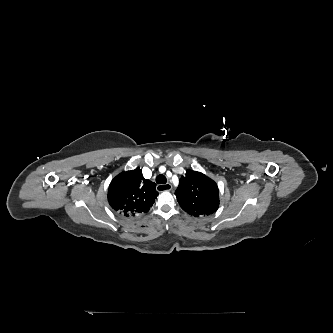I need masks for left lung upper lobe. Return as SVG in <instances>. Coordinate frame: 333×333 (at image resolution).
Listing matches in <instances>:
<instances>
[{"instance_id":"obj_1","label":"left lung upper lobe","mask_w":333,"mask_h":333,"mask_svg":"<svg viewBox=\"0 0 333 333\" xmlns=\"http://www.w3.org/2000/svg\"><path fill=\"white\" fill-rule=\"evenodd\" d=\"M181 208L190 215H209L219 207V190L206 175L190 170L180 179L175 192Z\"/></svg>"}]
</instances>
